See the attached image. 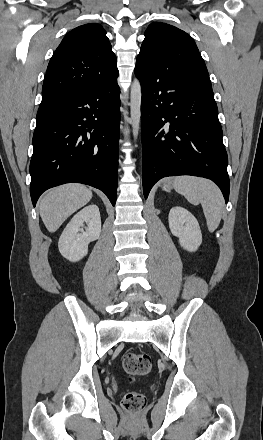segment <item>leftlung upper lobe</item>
Masks as SVG:
<instances>
[{"instance_id": "5c2ea615", "label": "left lung upper lobe", "mask_w": 263, "mask_h": 440, "mask_svg": "<svg viewBox=\"0 0 263 440\" xmlns=\"http://www.w3.org/2000/svg\"><path fill=\"white\" fill-rule=\"evenodd\" d=\"M144 35L136 66L172 69L212 89L205 62L194 40L186 32L169 24L153 22Z\"/></svg>"}]
</instances>
